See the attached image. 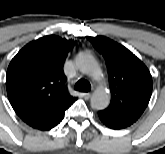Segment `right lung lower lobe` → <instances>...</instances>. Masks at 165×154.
<instances>
[{"label": "right lung lower lobe", "instance_id": "right-lung-lower-lobe-1", "mask_svg": "<svg viewBox=\"0 0 165 154\" xmlns=\"http://www.w3.org/2000/svg\"><path fill=\"white\" fill-rule=\"evenodd\" d=\"M76 100L75 97L66 96L52 105L22 118L33 128L49 130L58 125L65 114V110Z\"/></svg>", "mask_w": 165, "mask_h": 154}]
</instances>
